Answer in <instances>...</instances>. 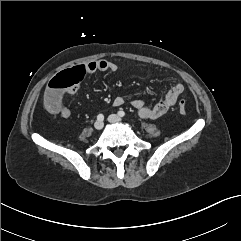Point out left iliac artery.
I'll use <instances>...</instances> for the list:
<instances>
[{
  "instance_id": "left-iliac-artery-1",
  "label": "left iliac artery",
  "mask_w": 241,
  "mask_h": 241,
  "mask_svg": "<svg viewBox=\"0 0 241 241\" xmlns=\"http://www.w3.org/2000/svg\"><path fill=\"white\" fill-rule=\"evenodd\" d=\"M118 115L120 117H124L125 116V112L123 110H120V111H118Z\"/></svg>"
}]
</instances>
